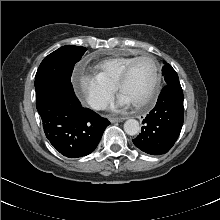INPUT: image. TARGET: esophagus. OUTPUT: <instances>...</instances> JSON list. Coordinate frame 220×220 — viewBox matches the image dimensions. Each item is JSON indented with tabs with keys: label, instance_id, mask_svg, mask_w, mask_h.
I'll list each match as a JSON object with an SVG mask.
<instances>
[{
	"label": "esophagus",
	"instance_id": "1",
	"mask_svg": "<svg viewBox=\"0 0 220 220\" xmlns=\"http://www.w3.org/2000/svg\"><path fill=\"white\" fill-rule=\"evenodd\" d=\"M126 118H109V121L111 123H115V122H121L123 120H125Z\"/></svg>",
	"mask_w": 220,
	"mask_h": 220
}]
</instances>
